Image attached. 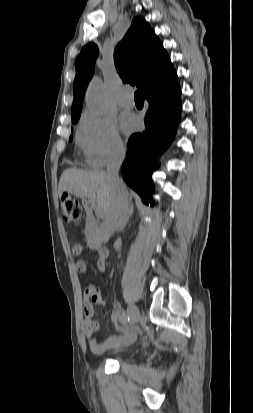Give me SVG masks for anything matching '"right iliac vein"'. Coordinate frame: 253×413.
<instances>
[{
    "label": "right iliac vein",
    "mask_w": 253,
    "mask_h": 413,
    "mask_svg": "<svg viewBox=\"0 0 253 413\" xmlns=\"http://www.w3.org/2000/svg\"><path fill=\"white\" fill-rule=\"evenodd\" d=\"M128 317H129V322L131 324H134L138 321L140 317V313L138 308L135 305H130L128 307Z\"/></svg>",
    "instance_id": "obj_1"
}]
</instances>
